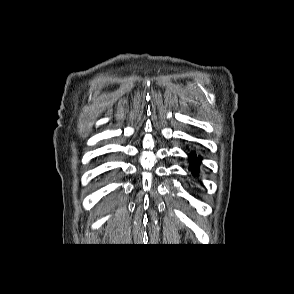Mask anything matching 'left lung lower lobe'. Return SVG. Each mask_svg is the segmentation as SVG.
Listing matches in <instances>:
<instances>
[{
    "instance_id": "obj_1",
    "label": "left lung lower lobe",
    "mask_w": 294,
    "mask_h": 294,
    "mask_svg": "<svg viewBox=\"0 0 294 294\" xmlns=\"http://www.w3.org/2000/svg\"><path fill=\"white\" fill-rule=\"evenodd\" d=\"M200 157H198L197 158V156L194 154V153H192L191 155H190V161H191V164H192V166H191V170L194 172V173H196L197 172V167H198V164H199V161H200Z\"/></svg>"
}]
</instances>
